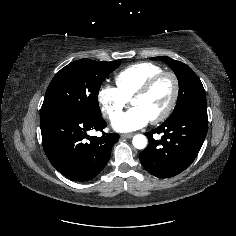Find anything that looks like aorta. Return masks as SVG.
I'll return each instance as SVG.
<instances>
[{"label": "aorta", "mask_w": 236, "mask_h": 236, "mask_svg": "<svg viewBox=\"0 0 236 236\" xmlns=\"http://www.w3.org/2000/svg\"><path fill=\"white\" fill-rule=\"evenodd\" d=\"M132 143L136 149H144L147 146V138L142 134H137L133 137Z\"/></svg>", "instance_id": "aorta-1"}]
</instances>
